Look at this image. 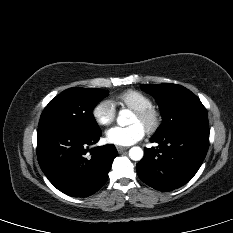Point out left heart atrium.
<instances>
[{"label":"left heart atrium","instance_id":"1","mask_svg":"<svg viewBox=\"0 0 233 233\" xmlns=\"http://www.w3.org/2000/svg\"><path fill=\"white\" fill-rule=\"evenodd\" d=\"M145 136V128L140 124H131L126 127L115 126L106 132L109 143L119 146H130Z\"/></svg>","mask_w":233,"mask_h":233}]
</instances>
